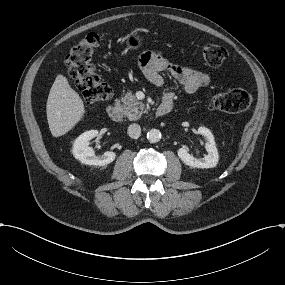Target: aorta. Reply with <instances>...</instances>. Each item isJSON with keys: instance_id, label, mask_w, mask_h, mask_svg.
<instances>
[{"instance_id": "obj_1", "label": "aorta", "mask_w": 285, "mask_h": 285, "mask_svg": "<svg viewBox=\"0 0 285 285\" xmlns=\"http://www.w3.org/2000/svg\"><path fill=\"white\" fill-rule=\"evenodd\" d=\"M147 139L150 143H157L161 139V132L158 129H151L147 133Z\"/></svg>"}]
</instances>
